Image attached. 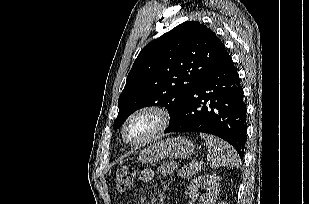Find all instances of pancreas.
<instances>
[{"label":"pancreas","instance_id":"pancreas-1","mask_svg":"<svg viewBox=\"0 0 309 204\" xmlns=\"http://www.w3.org/2000/svg\"><path fill=\"white\" fill-rule=\"evenodd\" d=\"M201 169H202L201 165L190 163V164L184 165L182 169L178 171V176L187 178L201 171Z\"/></svg>","mask_w":309,"mask_h":204}]
</instances>
